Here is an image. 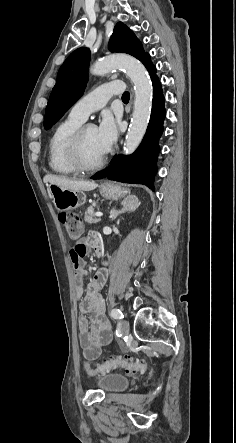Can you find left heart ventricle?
Here are the masks:
<instances>
[{"label":"left heart ventricle","mask_w":236,"mask_h":443,"mask_svg":"<svg viewBox=\"0 0 236 443\" xmlns=\"http://www.w3.org/2000/svg\"><path fill=\"white\" fill-rule=\"evenodd\" d=\"M103 151L100 147L95 127H90L84 133L81 145L82 159L86 164H93L102 155Z\"/></svg>","instance_id":"obj_1"}]
</instances>
